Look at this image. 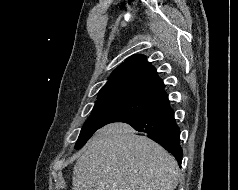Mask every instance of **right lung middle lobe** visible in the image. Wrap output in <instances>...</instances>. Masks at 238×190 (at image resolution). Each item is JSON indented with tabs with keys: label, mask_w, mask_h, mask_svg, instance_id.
<instances>
[{
	"label": "right lung middle lobe",
	"mask_w": 238,
	"mask_h": 190,
	"mask_svg": "<svg viewBox=\"0 0 238 190\" xmlns=\"http://www.w3.org/2000/svg\"><path fill=\"white\" fill-rule=\"evenodd\" d=\"M154 104L130 96H115L98 99L91 115L81 129L75 145L80 149L99 128L113 122H123L135 117Z\"/></svg>",
	"instance_id": "right-lung-middle-lobe-1"
}]
</instances>
